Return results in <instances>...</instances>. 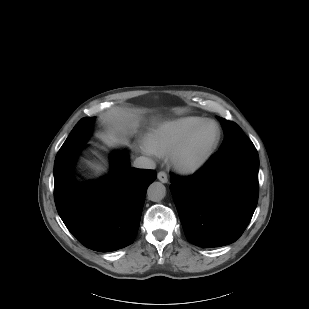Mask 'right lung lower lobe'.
Here are the masks:
<instances>
[{
    "label": "right lung lower lobe",
    "mask_w": 309,
    "mask_h": 309,
    "mask_svg": "<svg viewBox=\"0 0 309 309\" xmlns=\"http://www.w3.org/2000/svg\"><path fill=\"white\" fill-rule=\"evenodd\" d=\"M78 149L54 163L57 211L73 236L85 247L109 252L133 243L148 185L155 171L131 168L125 153L111 158V175L78 187L72 168Z\"/></svg>",
    "instance_id": "right-lung-lower-lobe-1"
}]
</instances>
